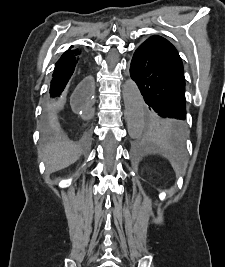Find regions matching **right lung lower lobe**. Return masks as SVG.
Listing matches in <instances>:
<instances>
[{
  "mask_svg": "<svg viewBox=\"0 0 225 267\" xmlns=\"http://www.w3.org/2000/svg\"><path fill=\"white\" fill-rule=\"evenodd\" d=\"M68 49L57 61L50 86V103L48 122L44 127L46 135L56 132L57 124L54 116L55 104L60 102L75 81L86 72V59L78 49ZM84 85L90 88L91 80L88 76L83 79Z\"/></svg>",
  "mask_w": 225,
  "mask_h": 267,
  "instance_id": "right-lung-lower-lobe-1",
  "label": "right lung lower lobe"
}]
</instances>
